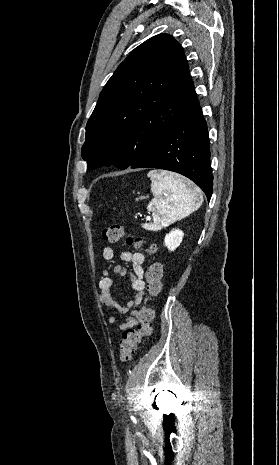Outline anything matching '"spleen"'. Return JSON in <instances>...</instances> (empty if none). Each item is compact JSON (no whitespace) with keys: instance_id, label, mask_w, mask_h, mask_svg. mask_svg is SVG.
<instances>
[{"instance_id":"spleen-1","label":"spleen","mask_w":279,"mask_h":465,"mask_svg":"<svg viewBox=\"0 0 279 465\" xmlns=\"http://www.w3.org/2000/svg\"><path fill=\"white\" fill-rule=\"evenodd\" d=\"M151 192L154 196L148 205L153 212V223L144 228L159 230L198 210L203 202L200 189L175 173L152 170Z\"/></svg>"}]
</instances>
